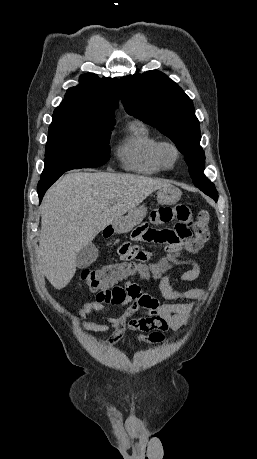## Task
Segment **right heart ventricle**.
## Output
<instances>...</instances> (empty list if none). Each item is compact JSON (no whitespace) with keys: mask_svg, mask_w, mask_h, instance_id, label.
Listing matches in <instances>:
<instances>
[{"mask_svg":"<svg viewBox=\"0 0 257 459\" xmlns=\"http://www.w3.org/2000/svg\"><path fill=\"white\" fill-rule=\"evenodd\" d=\"M159 139L142 122L129 124L128 133L117 148V156L126 170L144 175H154L165 168L156 156Z\"/></svg>","mask_w":257,"mask_h":459,"instance_id":"e07e8e85","label":"right heart ventricle"}]
</instances>
